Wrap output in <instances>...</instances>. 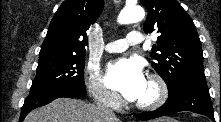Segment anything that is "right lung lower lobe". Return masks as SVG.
I'll return each instance as SVG.
<instances>
[{
    "label": "right lung lower lobe",
    "mask_w": 221,
    "mask_h": 122,
    "mask_svg": "<svg viewBox=\"0 0 221 122\" xmlns=\"http://www.w3.org/2000/svg\"><path fill=\"white\" fill-rule=\"evenodd\" d=\"M85 89H79L70 86L53 87L50 89L30 91L25 99L21 110L19 122H22L25 116L37 107H41L60 97L78 98L86 96Z\"/></svg>",
    "instance_id": "1"
}]
</instances>
